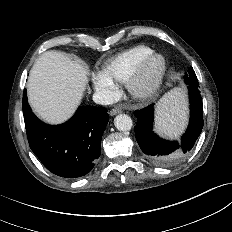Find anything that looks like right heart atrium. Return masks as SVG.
<instances>
[{
    "label": "right heart atrium",
    "mask_w": 232,
    "mask_h": 232,
    "mask_svg": "<svg viewBox=\"0 0 232 232\" xmlns=\"http://www.w3.org/2000/svg\"><path fill=\"white\" fill-rule=\"evenodd\" d=\"M93 86L103 100H110L118 93V87L114 81L103 72H96L91 77Z\"/></svg>",
    "instance_id": "right-heart-atrium-1"
}]
</instances>
